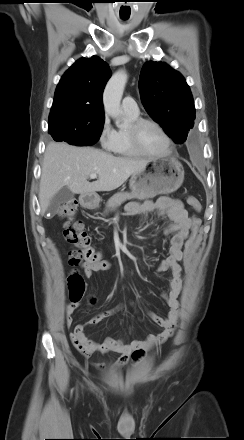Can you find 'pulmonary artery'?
<instances>
[{"label": "pulmonary artery", "instance_id": "obj_1", "mask_svg": "<svg viewBox=\"0 0 244 440\" xmlns=\"http://www.w3.org/2000/svg\"><path fill=\"white\" fill-rule=\"evenodd\" d=\"M122 109L125 113L131 114V115H137L139 113L138 105L134 98L131 96H126L122 100Z\"/></svg>", "mask_w": 244, "mask_h": 440}]
</instances>
